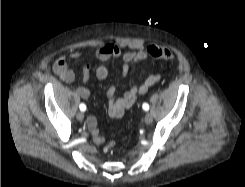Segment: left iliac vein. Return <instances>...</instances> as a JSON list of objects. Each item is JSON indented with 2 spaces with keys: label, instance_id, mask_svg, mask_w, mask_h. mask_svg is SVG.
Listing matches in <instances>:
<instances>
[{
  "label": "left iliac vein",
  "instance_id": "1",
  "mask_svg": "<svg viewBox=\"0 0 245 187\" xmlns=\"http://www.w3.org/2000/svg\"><path fill=\"white\" fill-rule=\"evenodd\" d=\"M153 120L152 114L150 112H147L144 117V121L146 124H150Z\"/></svg>",
  "mask_w": 245,
  "mask_h": 187
}]
</instances>
